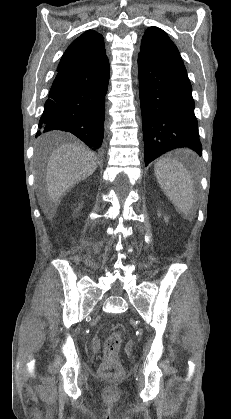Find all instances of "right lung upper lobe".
Here are the masks:
<instances>
[{
    "instance_id": "1",
    "label": "right lung upper lobe",
    "mask_w": 231,
    "mask_h": 419,
    "mask_svg": "<svg viewBox=\"0 0 231 419\" xmlns=\"http://www.w3.org/2000/svg\"><path fill=\"white\" fill-rule=\"evenodd\" d=\"M108 60L101 34L88 30L75 39L62 56L57 70L83 67Z\"/></svg>"
}]
</instances>
